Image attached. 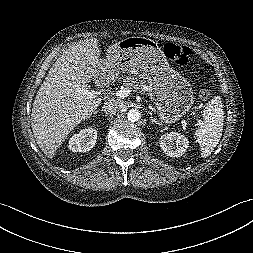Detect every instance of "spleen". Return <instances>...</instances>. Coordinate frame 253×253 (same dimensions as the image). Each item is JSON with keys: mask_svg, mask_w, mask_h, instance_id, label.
<instances>
[{"mask_svg": "<svg viewBox=\"0 0 253 253\" xmlns=\"http://www.w3.org/2000/svg\"><path fill=\"white\" fill-rule=\"evenodd\" d=\"M223 115L221 98L216 96L205 107L203 121L195 132L203 158L208 157L220 141L223 132Z\"/></svg>", "mask_w": 253, "mask_h": 253, "instance_id": "obj_1", "label": "spleen"}]
</instances>
